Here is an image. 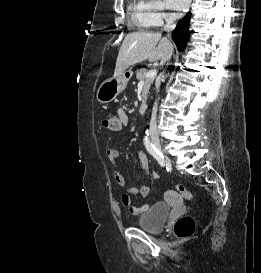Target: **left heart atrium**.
<instances>
[{"label":"left heart atrium","mask_w":261,"mask_h":273,"mask_svg":"<svg viewBox=\"0 0 261 273\" xmlns=\"http://www.w3.org/2000/svg\"><path fill=\"white\" fill-rule=\"evenodd\" d=\"M166 2L177 13L185 10L189 4V0H166Z\"/></svg>","instance_id":"1"}]
</instances>
